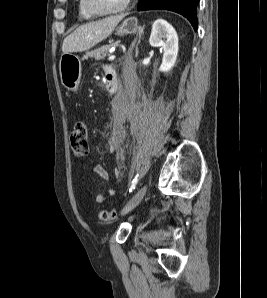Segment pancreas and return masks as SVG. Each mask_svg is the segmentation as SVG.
Here are the masks:
<instances>
[{
    "label": "pancreas",
    "instance_id": "1",
    "mask_svg": "<svg viewBox=\"0 0 267 298\" xmlns=\"http://www.w3.org/2000/svg\"><path fill=\"white\" fill-rule=\"evenodd\" d=\"M118 43L119 42H116L114 44H108V45L101 46V47H99V48H97L95 50H92V51L88 52L86 54V57H93V58H95L97 60L103 59L106 56H109L110 55V52H109L110 48L112 46L118 45Z\"/></svg>",
    "mask_w": 267,
    "mask_h": 298
}]
</instances>
